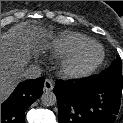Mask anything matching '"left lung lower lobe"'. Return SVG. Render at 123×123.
<instances>
[{
	"instance_id": "left-lung-lower-lobe-1",
	"label": "left lung lower lobe",
	"mask_w": 123,
	"mask_h": 123,
	"mask_svg": "<svg viewBox=\"0 0 123 123\" xmlns=\"http://www.w3.org/2000/svg\"><path fill=\"white\" fill-rule=\"evenodd\" d=\"M123 81L96 75L78 82H56L59 123H114Z\"/></svg>"
}]
</instances>
